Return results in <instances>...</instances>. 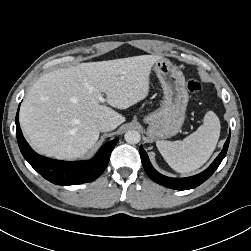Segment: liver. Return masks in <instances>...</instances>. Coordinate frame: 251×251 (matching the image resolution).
<instances>
[{"mask_svg": "<svg viewBox=\"0 0 251 251\" xmlns=\"http://www.w3.org/2000/svg\"><path fill=\"white\" fill-rule=\"evenodd\" d=\"M157 55L81 63L41 76L30 88L20 109V125L30 145L58 159L84 156L99 139L101 118L119 126L125 117L117 109L143 100L149 92Z\"/></svg>", "mask_w": 251, "mask_h": 251, "instance_id": "obj_1", "label": "liver"}]
</instances>
